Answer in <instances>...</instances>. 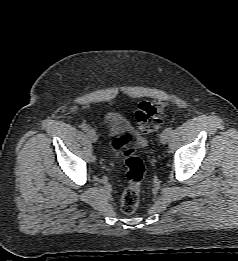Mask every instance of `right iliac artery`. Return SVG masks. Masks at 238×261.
Segmentation results:
<instances>
[{"label":"right iliac artery","instance_id":"obj_1","mask_svg":"<svg viewBox=\"0 0 238 261\" xmlns=\"http://www.w3.org/2000/svg\"><path fill=\"white\" fill-rule=\"evenodd\" d=\"M81 128H82V130H84V131H87V130H88V126H87L86 124H82V125H81Z\"/></svg>","mask_w":238,"mask_h":261}]
</instances>
